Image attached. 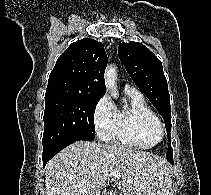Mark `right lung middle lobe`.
<instances>
[{
    "label": "right lung middle lobe",
    "mask_w": 211,
    "mask_h": 195,
    "mask_svg": "<svg viewBox=\"0 0 211 195\" xmlns=\"http://www.w3.org/2000/svg\"><path fill=\"white\" fill-rule=\"evenodd\" d=\"M99 100L64 93L45 94L43 148L69 139L93 140L94 112Z\"/></svg>",
    "instance_id": "dd1d6c3e"
}]
</instances>
